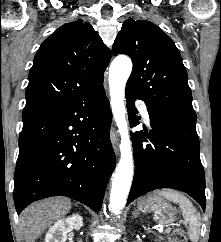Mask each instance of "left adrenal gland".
I'll return each mask as SVG.
<instances>
[{
	"label": "left adrenal gland",
	"instance_id": "left-adrenal-gland-1",
	"mask_svg": "<svg viewBox=\"0 0 221 242\" xmlns=\"http://www.w3.org/2000/svg\"><path fill=\"white\" fill-rule=\"evenodd\" d=\"M138 216V211H134L133 212V217L135 218V217H137Z\"/></svg>",
	"mask_w": 221,
	"mask_h": 242
}]
</instances>
